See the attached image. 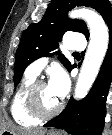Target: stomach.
<instances>
[{
    "instance_id": "0dacf381",
    "label": "stomach",
    "mask_w": 112,
    "mask_h": 135,
    "mask_svg": "<svg viewBox=\"0 0 112 135\" xmlns=\"http://www.w3.org/2000/svg\"><path fill=\"white\" fill-rule=\"evenodd\" d=\"M12 134L10 131H3L2 133H0V135H10ZM47 135H61L59 132L56 131H52L49 132Z\"/></svg>"
}]
</instances>
